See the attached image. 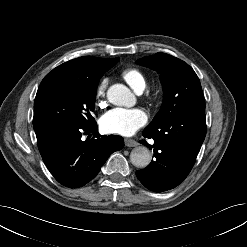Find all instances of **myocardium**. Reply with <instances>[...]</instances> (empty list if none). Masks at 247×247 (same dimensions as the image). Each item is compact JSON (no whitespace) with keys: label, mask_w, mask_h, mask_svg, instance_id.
Wrapping results in <instances>:
<instances>
[{"label":"myocardium","mask_w":247,"mask_h":247,"mask_svg":"<svg viewBox=\"0 0 247 247\" xmlns=\"http://www.w3.org/2000/svg\"><path fill=\"white\" fill-rule=\"evenodd\" d=\"M156 98H157V94L154 93L148 97V100H149V102L153 103V102H155Z\"/></svg>","instance_id":"f54148a6"}]
</instances>
